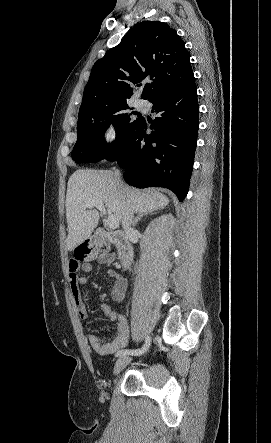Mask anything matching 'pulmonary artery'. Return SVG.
<instances>
[{
  "instance_id": "obj_1",
  "label": "pulmonary artery",
  "mask_w": 271,
  "mask_h": 443,
  "mask_svg": "<svg viewBox=\"0 0 271 443\" xmlns=\"http://www.w3.org/2000/svg\"><path fill=\"white\" fill-rule=\"evenodd\" d=\"M149 106H150L149 102L144 99H138L136 102V108L140 111H143V112H148Z\"/></svg>"
}]
</instances>
